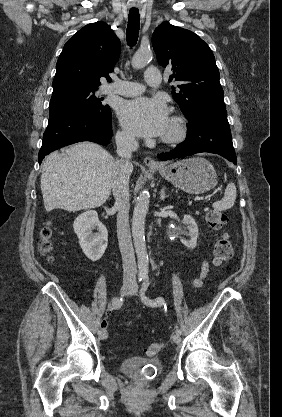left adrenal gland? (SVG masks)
<instances>
[{"label":"left adrenal gland","instance_id":"left-adrenal-gland-1","mask_svg":"<svg viewBox=\"0 0 282 417\" xmlns=\"http://www.w3.org/2000/svg\"><path fill=\"white\" fill-rule=\"evenodd\" d=\"M166 196H168V194H166V186H163V188H161V192H160V200H164V198H166Z\"/></svg>","mask_w":282,"mask_h":417}]
</instances>
